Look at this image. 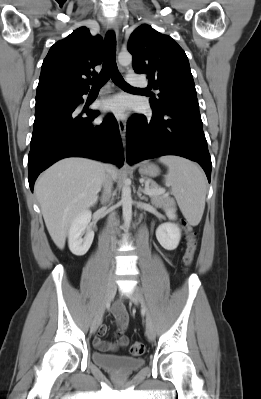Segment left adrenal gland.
<instances>
[{
    "mask_svg": "<svg viewBox=\"0 0 261 399\" xmlns=\"http://www.w3.org/2000/svg\"><path fill=\"white\" fill-rule=\"evenodd\" d=\"M138 197H139L140 199H142V200H145V201L148 200V198H147L146 196H142L141 190H140V189L138 190Z\"/></svg>",
    "mask_w": 261,
    "mask_h": 399,
    "instance_id": "a2214340",
    "label": "left adrenal gland"
}]
</instances>
